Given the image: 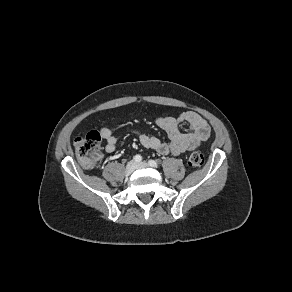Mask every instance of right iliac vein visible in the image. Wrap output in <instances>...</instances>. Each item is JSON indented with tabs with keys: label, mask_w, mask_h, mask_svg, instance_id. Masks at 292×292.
Segmentation results:
<instances>
[{
	"label": "right iliac vein",
	"mask_w": 292,
	"mask_h": 292,
	"mask_svg": "<svg viewBox=\"0 0 292 292\" xmlns=\"http://www.w3.org/2000/svg\"><path fill=\"white\" fill-rule=\"evenodd\" d=\"M135 169H136L135 162L134 161L128 162L125 168V175L130 176L134 172Z\"/></svg>",
	"instance_id": "63e3f726"
}]
</instances>
